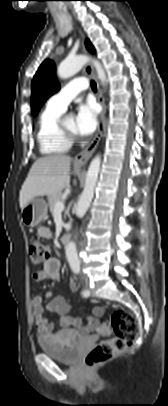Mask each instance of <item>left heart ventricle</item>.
Listing matches in <instances>:
<instances>
[{"instance_id":"obj_1","label":"left heart ventricle","mask_w":168,"mask_h":406,"mask_svg":"<svg viewBox=\"0 0 168 406\" xmlns=\"http://www.w3.org/2000/svg\"><path fill=\"white\" fill-rule=\"evenodd\" d=\"M64 127L72 132L76 133V129H75V119L73 117H68L64 120L63 122Z\"/></svg>"}]
</instances>
